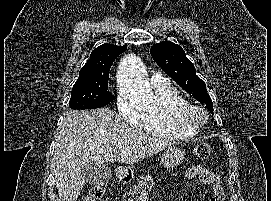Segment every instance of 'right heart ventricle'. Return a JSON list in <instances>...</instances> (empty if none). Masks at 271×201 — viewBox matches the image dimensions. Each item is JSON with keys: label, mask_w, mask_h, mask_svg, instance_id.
<instances>
[{"label": "right heart ventricle", "mask_w": 271, "mask_h": 201, "mask_svg": "<svg viewBox=\"0 0 271 201\" xmlns=\"http://www.w3.org/2000/svg\"><path fill=\"white\" fill-rule=\"evenodd\" d=\"M155 94L159 101V108L145 114L143 130L153 137L168 140L186 139L197 135L199 129L183 124L172 113L175 105L185 102L175 88L170 85L155 87Z\"/></svg>", "instance_id": "obj_1"}]
</instances>
